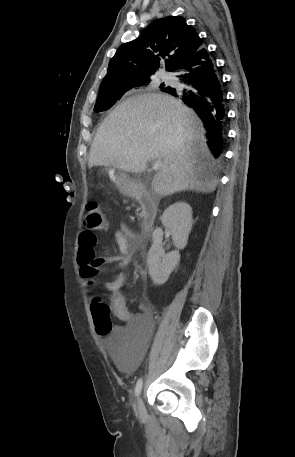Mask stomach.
Here are the masks:
<instances>
[{"instance_id":"obj_1","label":"stomach","mask_w":295,"mask_h":457,"mask_svg":"<svg viewBox=\"0 0 295 457\" xmlns=\"http://www.w3.org/2000/svg\"><path fill=\"white\" fill-rule=\"evenodd\" d=\"M107 174L110 180L116 185V187L124 194H131L133 192L134 184L127 177L123 170L109 168Z\"/></svg>"}]
</instances>
